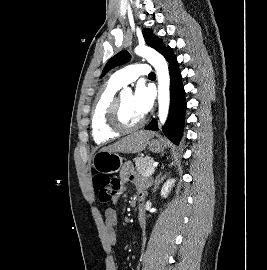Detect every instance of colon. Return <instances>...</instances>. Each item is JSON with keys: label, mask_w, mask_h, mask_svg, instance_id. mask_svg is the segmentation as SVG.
<instances>
[{"label": "colon", "mask_w": 267, "mask_h": 270, "mask_svg": "<svg viewBox=\"0 0 267 270\" xmlns=\"http://www.w3.org/2000/svg\"><path fill=\"white\" fill-rule=\"evenodd\" d=\"M93 186L101 203H108L120 194L121 183L116 177L98 173L93 177Z\"/></svg>", "instance_id": "1"}]
</instances>
